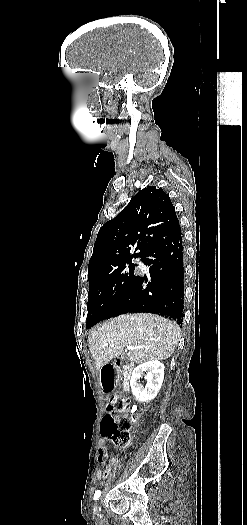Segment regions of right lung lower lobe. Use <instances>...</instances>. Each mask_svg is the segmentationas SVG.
<instances>
[{
    "label": "right lung lower lobe",
    "instance_id": "98d812e1",
    "mask_svg": "<svg viewBox=\"0 0 247 525\" xmlns=\"http://www.w3.org/2000/svg\"><path fill=\"white\" fill-rule=\"evenodd\" d=\"M141 258L149 266L151 281L146 276H137L113 316L149 312L181 322L184 293L181 228L153 244Z\"/></svg>",
    "mask_w": 247,
    "mask_h": 525
}]
</instances>
